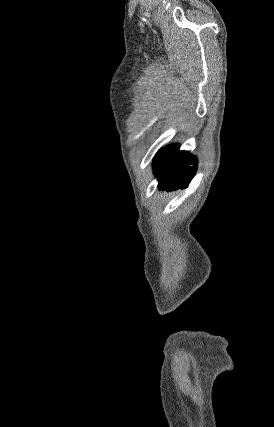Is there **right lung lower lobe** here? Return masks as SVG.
<instances>
[{"label": "right lung lower lobe", "instance_id": "right-lung-lower-lobe-1", "mask_svg": "<svg viewBox=\"0 0 274 427\" xmlns=\"http://www.w3.org/2000/svg\"><path fill=\"white\" fill-rule=\"evenodd\" d=\"M196 163L194 156L178 151L177 145L160 150L154 158V172L159 180V189L186 187L196 172Z\"/></svg>", "mask_w": 274, "mask_h": 427}]
</instances>
